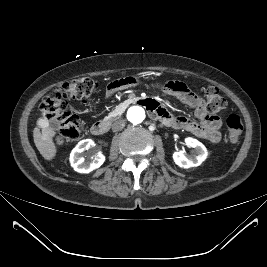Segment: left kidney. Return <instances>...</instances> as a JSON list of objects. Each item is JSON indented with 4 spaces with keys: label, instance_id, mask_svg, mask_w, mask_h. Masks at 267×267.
<instances>
[{
    "label": "left kidney",
    "instance_id": "obj_1",
    "mask_svg": "<svg viewBox=\"0 0 267 267\" xmlns=\"http://www.w3.org/2000/svg\"><path fill=\"white\" fill-rule=\"evenodd\" d=\"M185 143L194 148V155L188 157L184 151L175 152L173 154L175 164L184 169L199 166L207 158L208 152L206 147L192 137L185 138Z\"/></svg>",
    "mask_w": 267,
    "mask_h": 267
}]
</instances>
